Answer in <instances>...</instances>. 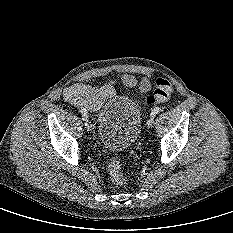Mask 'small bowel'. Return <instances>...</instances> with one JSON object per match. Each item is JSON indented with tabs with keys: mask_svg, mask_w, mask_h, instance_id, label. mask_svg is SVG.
Returning a JSON list of instances; mask_svg holds the SVG:
<instances>
[{
	"mask_svg": "<svg viewBox=\"0 0 233 233\" xmlns=\"http://www.w3.org/2000/svg\"><path fill=\"white\" fill-rule=\"evenodd\" d=\"M122 81L130 87L138 86L143 93H147L151 89V84L146 78L138 80L130 75H125L122 77ZM113 94L114 87L110 83L98 87H92L86 84H75L65 89L64 98L75 107L85 109L86 111H95L104 100Z\"/></svg>",
	"mask_w": 233,
	"mask_h": 233,
	"instance_id": "1",
	"label": "small bowel"
}]
</instances>
